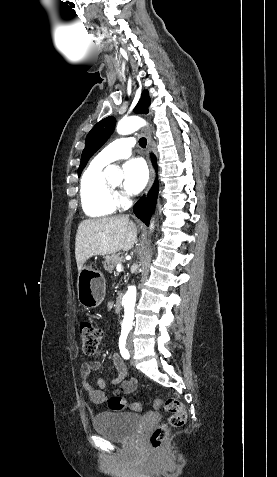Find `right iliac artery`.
<instances>
[{"label": "right iliac artery", "mask_w": 277, "mask_h": 477, "mask_svg": "<svg viewBox=\"0 0 277 477\" xmlns=\"http://www.w3.org/2000/svg\"><path fill=\"white\" fill-rule=\"evenodd\" d=\"M127 334H128V331L123 330L122 333H121L120 339H119L120 353H121L122 357L125 358V359H129V357H130L129 352L125 347Z\"/></svg>", "instance_id": "obj_1"}]
</instances>
